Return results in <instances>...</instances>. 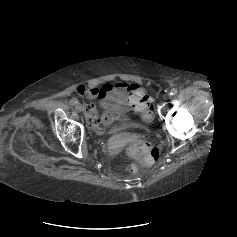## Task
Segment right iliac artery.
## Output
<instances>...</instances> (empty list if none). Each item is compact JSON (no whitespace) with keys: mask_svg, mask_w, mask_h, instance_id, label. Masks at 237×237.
<instances>
[{"mask_svg":"<svg viewBox=\"0 0 237 237\" xmlns=\"http://www.w3.org/2000/svg\"><path fill=\"white\" fill-rule=\"evenodd\" d=\"M69 103H70V105L74 106V105L77 104V100L71 99V100L69 101Z\"/></svg>","mask_w":237,"mask_h":237,"instance_id":"right-iliac-artery-1","label":"right iliac artery"}]
</instances>
